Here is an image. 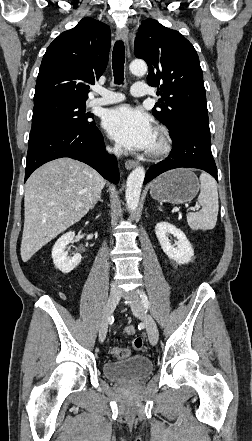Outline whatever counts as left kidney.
<instances>
[{"instance_id":"left-kidney-1","label":"left kidney","mask_w":252,"mask_h":441,"mask_svg":"<svg viewBox=\"0 0 252 441\" xmlns=\"http://www.w3.org/2000/svg\"><path fill=\"white\" fill-rule=\"evenodd\" d=\"M155 233L164 253L179 264L188 263L194 255V250L185 234L174 225L168 222H159L155 226ZM172 234L177 238L172 245L168 235Z\"/></svg>"}]
</instances>
